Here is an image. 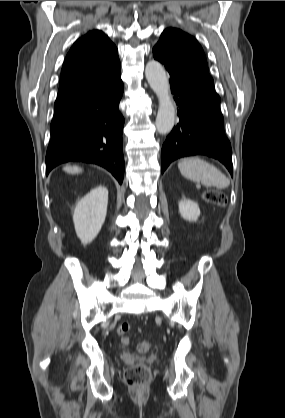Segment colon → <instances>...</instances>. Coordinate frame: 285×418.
<instances>
[{
	"label": "colon",
	"mask_w": 285,
	"mask_h": 418,
	"mask_svg": "<svg viewBox=\"0 0 285 418\" xmlns=\"http://www.w3.org/2000/svg\"><path fill=\"white\" fill-rule=\"evenodd\" d=\"M204 198L209 201L213 202L217 205H223L226 201V196L223 192L216 191V190H208L204 194ZM130 324L128 322H122L117 328V334L121 339L123 344L129 343L128 333L130 331ZM137 349L141 353H145L149 351L150 344L148 341H141L137 345ZM151 378V370L150 368L143 364L137 363L124 372V380L125 382L132 387L136 386H143L146 385Z\"/></svg>",
	"instance_id": "colon-1"
}]
</instances>
